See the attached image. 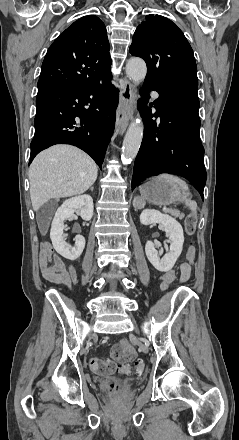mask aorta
I'll use <instances>...</instances> for the list:
<instances>
[{
  "label": "aorta",
  "instance_id": "762f6f07",
  "mask_svg": "<svg viewBox=\"0 0 239 440\" xmlns=\"http://www.w3.org/2000/svg\"><path fill=\"white\" fill-rule=\"evenodd\" d=\"M126 74L137 84L144 80L147 74V66L141 58H131L126 64ZM143 138V124L141 120L131 122L123 142L122 156L124 160H134L136 158Z\"/></svg>",
  "mask_w": 239,
  "mask_h": 440
}]
</instances>
